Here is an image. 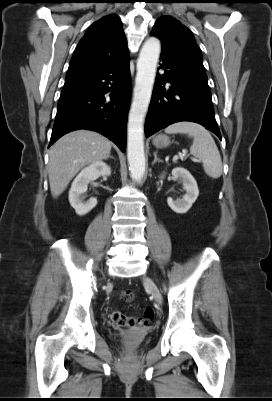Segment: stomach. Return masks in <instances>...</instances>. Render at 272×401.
<instances>
[{
	"label": "stomach",
	"mask_w": 272,
	"mask_h": 401,
	"mask_svg": "<svg viewBox=\"0 0 272 401\" xmlns=\"http://www.w3.org/2000/svg\"><path fill=\"white\" fill-rule=\"evenodd\" d=\"M153 144L157 148H165L170 144V138L165 134L156 135L153 138Z\"/></svg>",
	"instance_id": "obj_1"
}]
</instances>
